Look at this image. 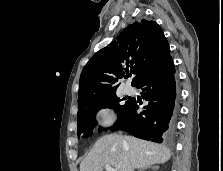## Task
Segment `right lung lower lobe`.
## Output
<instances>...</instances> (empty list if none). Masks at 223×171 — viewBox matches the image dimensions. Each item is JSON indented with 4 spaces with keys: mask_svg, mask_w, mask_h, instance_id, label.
<instances>
[{
    "mask_svg": "<svg viewBox=\"0 0 223 171\" xmlns=\"http://www.w3.org/2000/svg\"><path fill=\"white\" fill-rule=\"evenodd\" d=\"M175 67L172 58L140 81L142 98L148 101L141 113L132 100L126 114L111 130H124L135 137L161 143L171 138L174 130L176 102Z\"/></svg>",
    "mask_w": 223,
    "mask_h": 171,
    "instance_id": "1",
    "label": "right lung lower lobe"
}]
</instances>
